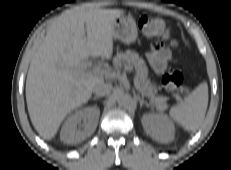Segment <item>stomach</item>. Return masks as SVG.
<instances>
[{
    "label": "stomach",
    "instance_id": "0dacf381",
    "mask_svg": "<svg viewBox=\"0 0 231 170\" xmlns=\"http://www.w3.org/2000/svg\"><path fill=\"white\" fill-rule=\"evenodd\" d=\"M137 26L131 16H120L113 28V37L125 44L134 43L137 39Z\"/></svg>",
    "mask_w": 231,
    "mask_h": 170
}]
</instances>
